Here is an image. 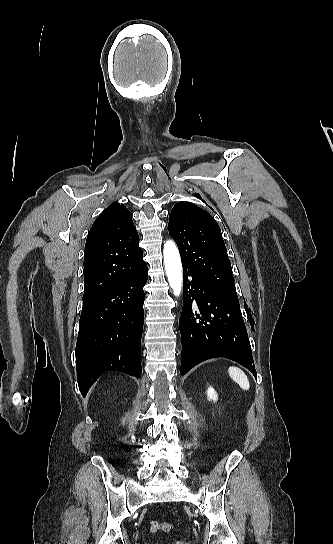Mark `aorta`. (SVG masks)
I'll return each instance as SVG.
<instances>
[{
    "instance_id": "762f6f07",
    "label": "aorta",
    "mask_w": 333,
    "mask_h": 544,
    "mask_svg": "<svg viewBox=\"0 0 333 544\" xmlns=\"http://www.w3.org/2000/svg\"><path fill=\"white\" fill-rule=\"evenodd\" d=\"M166 275L174 295L179 296L182 289V265L178 249L174 242L167 241L163 249Z\"/></svg>"
}]
</instances>
